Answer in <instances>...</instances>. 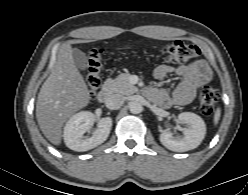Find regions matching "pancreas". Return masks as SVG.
Returning a JSON list of instances; mask_svg holds the SVG:
<instances>
[{
	"mask_svg": "<svg viewBox=\"0 0 248 195\" xmlns=\"http://www.w3.org/2000/svg\"><path fill=\"white\" fill-rule=\"evenodd\" d=\"M105 87L111 93L131 95L138 91L137 87L130 83V74H120L115 79H107Z\"/></svg>",
	"mask_w": 248,
	"mask_h": 195,
	"instance_id": "1",
	"label": "pancreas"
}]
</instances>
